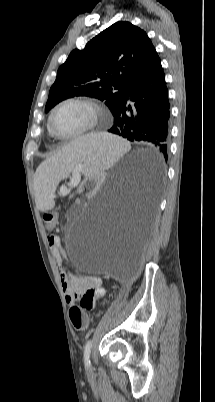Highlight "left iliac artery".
<instances>
[{"label":"left iliac artery","instance_id":"obj_1","mask_svg":"<svg viewBox=\"0 0 215 402\" xmlns=\"http://www.w3.org/2000/svg\"><path fill=\"white\" fill-rule=\"evenodd\" d=\"M91 347H92V341L88 340L84 347V362L86 366H90Z\"/></svg>","mask_w":215,"mask_h":402}]
</instances>
